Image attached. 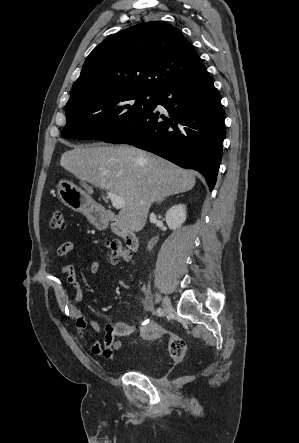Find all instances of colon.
<instances>
[{
	"label": "colon",
	"mask_w": 299,
	"mask_h": 443,
	"mask_svg": "<svg viewBox=\"0 0 299 443\" xmlns=\"http://www.w3.org/2000/svg\"><path fill=\"white\" fill-rule=\"evenodd\" d=\"M50 226L56 230H63L66 226L64 214L61 211L53 212L50 219ZM109 259L114 264L128 262L132 259V253L125 249L118 240H109L106 242ZM134 333L143 340H157L163 336H168V350L170 356L175 361H182L186 355L185 340L175 334L167 332L157 324L138 320L130 324Z\"/></svg>",
	"instance_id": "1"
}]
</instances>
